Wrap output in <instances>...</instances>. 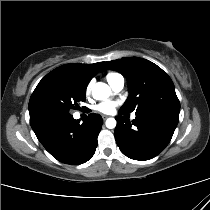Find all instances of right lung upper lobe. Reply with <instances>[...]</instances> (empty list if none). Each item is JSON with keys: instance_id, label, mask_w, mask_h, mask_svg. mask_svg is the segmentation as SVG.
Listing matches in <instances>:
<instances>
[{"instance_id": "cb5924a9", "label": "right lung upper lobe", "mask_w": 210, "mask_h": 210, "mask_svg": "<svg viewBox=\"0 0 210 210\" xmlns=\"http://www.w3.org/2000/svg\"><path fill=\"white\" fill-rule=\"evenodd\" d=\"M102 65L103 62L95 64H66L48 73L37 86L39 87L46 81L52 79H67L87 87L90 80L99 72Z\"/></svg>"}]
</instances>
